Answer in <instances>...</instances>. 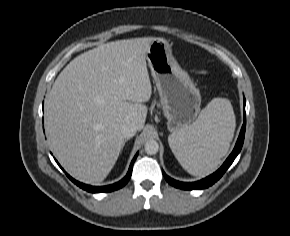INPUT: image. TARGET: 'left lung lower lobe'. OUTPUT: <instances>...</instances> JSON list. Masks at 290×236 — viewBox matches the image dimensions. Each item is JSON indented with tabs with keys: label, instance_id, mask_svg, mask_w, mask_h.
Returning <instances> with one entry per match:
<instances>
[{
	"label": "left lung lower lobe",
	"instance_id": "left-lung-lower-lobe-1",
	"mask_svg": "<svg viewBox=\"0 0 290 236\" xmlns=\"http://www.w3.org/2000/svg\"><path fill=\"white\" fill-rule=\"evenodd\" d=\"M245 104H246V101L244 99V122H243V126L241 128V131H240V135L238 137L237 143H236L232 153L229 155V157L226 159V161L223 163V165L212 175H210V176H208L200 181L192 182V183L179 182L177 180H174V179L170 178L169 176H167L163 171V175L169 184H171L172 186H174L176 188H180V189H184V190L204 189V188H208L209 186L213 185L216 181H218L223 176V174L231 166V164L233 163V161L235 160L236 156L239 154V152L241 151V148L243 146L245 129H246Z\"/></svg>",
	"mask_w": 290,
	"mask_h": 236
}]
</instances>
